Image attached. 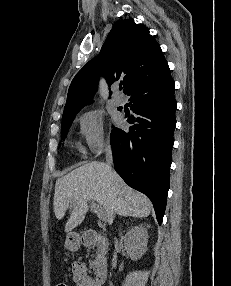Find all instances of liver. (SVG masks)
I'll use <instances>...</instances> for the list:
<instances>
[{
    "label": "liver",
    "mask_w": 231,
    "mask_h": 286,
    "mask_svg": "<svg viewBox=\"0 0 231 286\" xmlns=\"http://www.w3.org/2000/svg\"><path fill=\"white\" fill-rule=\"evenodd\" d=\"M88 201L97 202L105 212L108 223L115 214L121 216L147 217L152 203L143 194L130 188L113 170L103 162H89L76 168L56 181L54 213L62 219L72 209L65 225L70 232L84 220L88 212Z\"/></svg>",
    "instance_id": "6515ba94"
}]
</instances>
